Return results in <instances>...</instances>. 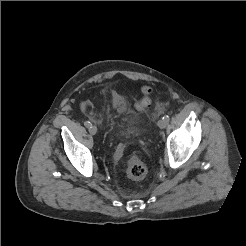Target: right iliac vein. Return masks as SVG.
<instances>
[{
	"label": "right iliac vein",
	"instance_id": "1",
	"mask_svg": "<svg viewBox=\"0 0 246 246\" xmlns=\"http://www.w3.org/2000/svg\"><path fill=\"white\" fill-rule=\"evenodd\" d=\"M89 132L92 135H95L97 133V127L96 126H91L90 129H89Z\"/></svg>",
	"mask_w": 246,
	"mask_h": 246
}]
</instances>
